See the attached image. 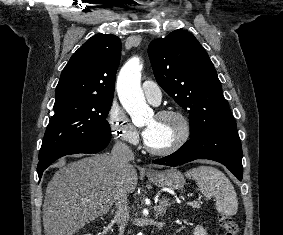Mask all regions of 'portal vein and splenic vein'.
<instances>
[{
    "instance_id": "1",
    "label": "portal vein and splenic vein",
    "mask_w": 283,
    "mask_h": 235,
    "mask_svg": "<svg viewBox=\"0 0 283 235\" xmlns=\"http://www.w3.org/2000/svg\"><path fill=\"white\" fill-rule=\"evenodd\" d=\"M194 203H196V202H188V204H190V205H191V204H194Z\"/></svg>"
}]
</instances>
